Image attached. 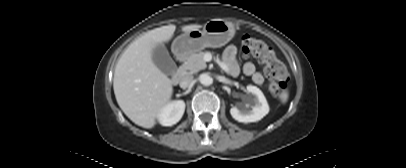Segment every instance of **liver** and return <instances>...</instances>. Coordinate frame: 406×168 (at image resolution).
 I'll list each match as a JSON object with an SVG mask.
<instances>
[{
    "label": "liver",
    "mask_w": 406,
    "mask_h": 168,
    "mask_svg": "<svg viewBox=\"0 0 406 168\" xmlns=\"http://www.w3.org/2000/svg\"><path fill=\"white\" fill-rule=\"evenodd\" d=\"M190 24L183 32L201 28ZM176 26L167 25L148 31L133 41L119 58L114 72L113 89L119 107L136 125L153 128L156 118L170 102L171 80L153 62V49L168 42Z\"/></svg>",
    "instance_id": "6515ba94"
}]
</instances>
